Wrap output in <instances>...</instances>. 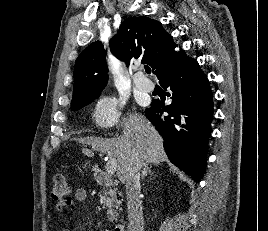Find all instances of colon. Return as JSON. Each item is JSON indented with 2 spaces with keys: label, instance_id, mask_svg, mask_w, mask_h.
Segmentation results:
<instances>
[{
  "label": "colon",
  "instance_id": "colon-1",
  "mask_svg": "<svg viewBox=\"0 0 268 231\" xmlns=\"http://www.w3.org/2000/svg\"><path fill=\"white\" fill-rule=\"evenodd\" d=\"M50 193L51 197L60 203L69 202L70 187L63 175L56 174L53 177Z\"/></svg>",
  "mask_w": 268,
  "mask_h": 231
}]
</instances>
